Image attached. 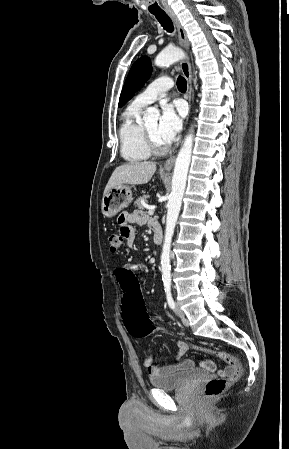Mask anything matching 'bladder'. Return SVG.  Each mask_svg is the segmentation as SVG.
I'll return each instance as SVG.
<instances>
[{
    "label": "bladder",
    "instance_id": "obj_1",
    "mask_svg": "<svg viewBox=\"0 0 289 449\" xmlns=\"http://www.w3.org/2000/svg\"><path fill=\"white\" fill-rule=\"evenodd\" d=\"M206 376V372L199 369H190L185 371L170 372L150 377V383L153 387L162 390H175L183 388L190 383Z\"/></svg>",
    "mask_w": 289,
    "mask_h": 449
}]
</instances>
